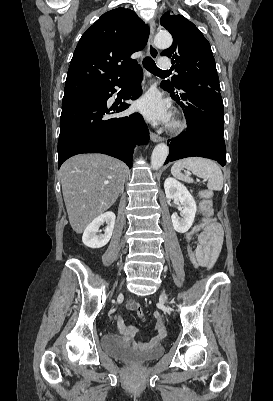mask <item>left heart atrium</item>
I'll use <instances>...</instances> for the list:
<instances>
[{
    "label": "left heart atrium",
    "mask_w": 273,
    "mask_h": 401,
    "mask_svg": "<svg viewBox=\"0 0 273 401\" xmlns=\"http://www.w3.org/2000/svg\"><path fill=\"white\" fill-rule=\"evenodd\" d=\"M138 110L152 123H168L171 118L169 106L156 94H148L137 103Z\"/></svg>",
    "instance_id": "obj_1"
}]
</instances>
